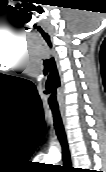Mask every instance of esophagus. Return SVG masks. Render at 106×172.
I'll return each instance as SVG.
<instances>
[{
    "label": "esophagus",
    "instance_id": "esophagus-1",
    "mask_svg": "<svg viewBox=\"0 0 106 172\" xmlns=\"http://www.w3.org/2000/svg\"><path fill=\"white\" fill-rule=\"evenodd\" d=\"M60 113H61V118H62L65 131L67 132V120H66L65 112L64 110H60Z\"/></svg>",
    "mask_w": 106,
    "mask_h": 172
}]
</instances>
